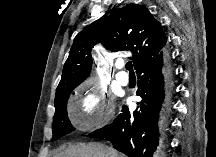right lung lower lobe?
Returning a JSON list of instances; mask_svg holds the SVG:
<instances>
[{"label": "right lung lower lobe", "instance_id": "obj_1", "mask_svg": "<svg viewBox=\"0 0 216 157\" xmlns=\"http://www.w3.org/2000/svg\"><path fill=\"white\" fill-rule=\"evenodd\" d=\"M136 73V95L142 98L137 109L130 112L124 105L112 124L89 136L106 138L128 157H159L170 109L169 67L163 52L136 69Z\"/></svg>", "mask_w": 216, "mask_h": 157}]
</instances>
